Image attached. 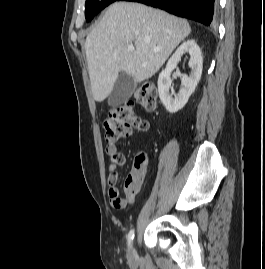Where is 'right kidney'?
I'll use <instances>...</instances> for the list:
<instances>
[{"instance_id":"right-kidney-1","label":"right kidney","mask_w":265,"mask_h":269,"mask_svg":"<svg viewBox=\"0 0 265 269\" xmlns=\"http://www.w3.org/2000/svg\"><path fill=\"white\" fill-rule=\"evenodd\" d=\"M185 53L190 55L188 65L191 73L189 77H182V88L175 98H173L169 92L172 83L170 75ZM202 69V52L195 40L190 39L182 43L168 60L166 68L160 73L158 78L159 97L168 112L176 113L186 105L201 78Z\"/></svg>"}]
</instances>
